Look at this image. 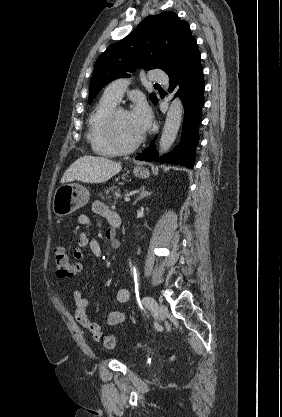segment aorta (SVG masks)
Masks as SVG:
<instances>
[{
	"mask_svg": "<svg viewBox=\"0 0 282 417\" xmlns=\"http://www.w3.org/2000/svg\"><path fill=\"white\" fill-rule=\"evenodd\" d=\"M182 114L183 104L180 98H174L167 110L164 128L159 140L160 152H167L172 146L180 128Z\"/></svg>",
	"mask_w": 282,
	"mask_h": 417,
	"instance_id": "762f6f07",
	"label": "aorta"
}]
</instances>
